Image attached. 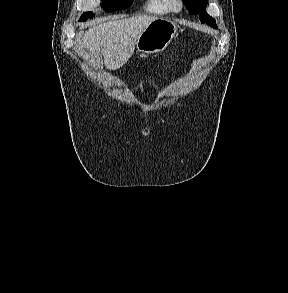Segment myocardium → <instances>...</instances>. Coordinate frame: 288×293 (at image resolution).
<instances>
[{
    "mask_svg": "<svg viewBox=\"0 0 288 293\" xmlns=\"http://www.w3.org/2000/svg\"><path fill=\"white\" fill-rule=\"evenodd\" d=\"M169 5L173 11H180L183 6V1L182 0H168Z\"/></svg>",
    "mask_w": 288,
    "mask_h": 293,
    "instance_id": "1",
    "label": "myocardium"
}]
</instances>
